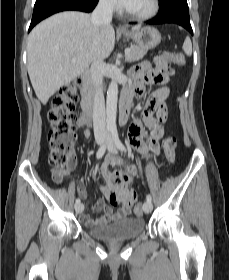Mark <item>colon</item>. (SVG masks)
<instances>
[{"label":"colon","instance_id":"5ec220e1","mask_svg":"<svg viewBox=\"0 0 229 280\" xmlns=\"http://www.w3.org/2000/svg\"><path fill=\"white\" fill-rule=\"evenodd\" d=\"M185 55L180 52L164 51L156 62L153 69L154 80L158 83H166L174 75L171 64L185 65ZM82 85L80 79L72 85L60 88L52 98V107L49 112L50 125L47 130V142L50 147L49 161L55 168L54 180L61 182L64 177L65 167L70 160L73 151V138L75 130L80 124L79 117L75 113V103L78 98V89ZM164 154L169 163L175 159L177 140L174 136H168L163 140ZM117 182H122L120 178ZM135 200V195H133ZM117 196L109 197L110 203H115ZM134 211L137 215L142 214L141 205H136Z\"/></svg>","mask_w":229,"mask_h":280}]
</instances>
